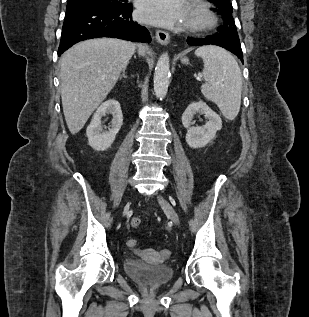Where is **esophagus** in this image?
Returning a JSON list of instances; mask_svg holds the SVG:
<instances>
[{"mask_svg":"<svg viewBox=\"0 0 309 317\" xmlns=\"http://www.w3.org/2000/svg\"><path fill=\"white\" fill-rule=\"evenodd\" d=\"M155 36L157 41L162 45H167L170 41V36L166 31L157 30Z\"/></svg>","mask_w":309,"mask_h":317,"instance_id":"esophagus-1","label":"esophagus"}]
</instances>
